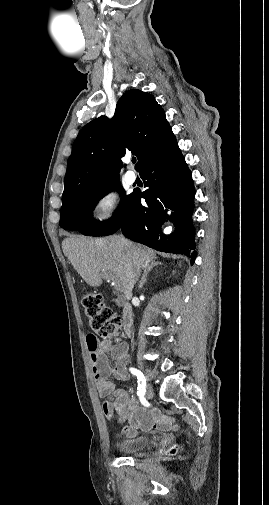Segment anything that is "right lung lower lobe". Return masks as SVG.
I'll return each instance as SVG.
<instances>
[{
  "label": "right lung lower lobe",
  "instance_id": "obj_1",
  "mask_svg": "<svg viewBox=\"0 0 269 505\" xmlns=\"http://www.w3.org/2000/svg\"><path fill=\"white\" fill-rule=\"evenodd\" d=\"M139 172L148 189L142 194L132 193L117 231L121 229L125 237L158 251L185 254L193 264L196 245L191 215L195 188L177 142L149 160ZM141 197L146 205L140 203ZM168 208L174 211L171 216L166 214ZM165 219L174 221L177 228L168 236L159 231Z\"/></svg>",
  "mask_w": 269,
  "mask_h": 505
}]
</instances>
